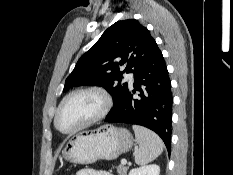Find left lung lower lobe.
Wrapping results in <instances>:
<instances>
[{"instance_id": "obj_1", "label": "left lung lower lobe", "mask_w": 233, "mask_h": 175, "mask_svg": "<svg viewBox=\"0 0 233 175\" xmlns=\"http://www.w3.org/2000/svg\"><path fill=\"white\" fill-rule=\"evenodd\" d=\"M133 86L134 89H128L124 95L120 106L104 121L147 127L161 137L170 153L173 96L167 67L158 46L136 72ZM136 91L139 92L137 99L132 95Z\"/></svg>"}]
</instances>
